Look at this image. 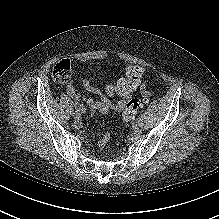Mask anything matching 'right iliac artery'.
<instances>
[{
    "label": "right iliac artery",
    "instance_id": "82829eb1",
    "mask_svg": "<svg viewBox=\"0 0 219 219\" xmlns=\"http://www.w3.org/2000/svg\"><path fill=\"white\" fill-rule=\"evenodd\" d=\"M74 106H75L76 109H79V110H81L82 112L84 111L83 105H82V104H79L77 101H75Z\"/></svg>",
    "mask_w": 219,
    "mask_h": 219
}]
</instances>
